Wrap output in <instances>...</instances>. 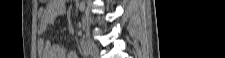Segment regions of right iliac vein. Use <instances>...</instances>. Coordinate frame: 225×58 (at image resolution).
Masks as SVG:
<instances>
[{
    "instance_id": "right-iliac-vein-1",
    "label": "right iliac vein",
    "mask_w": 225,
    "mask_h": 58,
    "mask_svg": "<svg viewBox=\"0 0 225 58\" xmlns=\"http://www.w3.org/2000/svg\"><path fill=\"white\" fill-rule=\"evenodd\" d=\"M84 42L88 54L91 55L93 58H96L99 54L96 44L90 38H85Z\"/></svg>"
}]
</instances>
